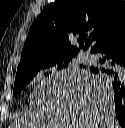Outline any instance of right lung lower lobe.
Here are the masks:
<instances>
[{
	"label": "right lung lower lobe",
	"instance_id": "right-lung-lower-lobe-1",
	"mask_svg": "<svg viewBox=\"0 0 125 128\" xmlns=\"http://www.w3.org/2000/svg\"><path fill=\"white\" fill-rule=\"evenodd\" d=\"M100 55L101 66L91 67L93 74H105L107 85L114 96L116 117L125 128V27L114 33L92 50Z\"/></svg>",
	"mask_w": 125,
	"mask_h": 128
}]
</instances>
